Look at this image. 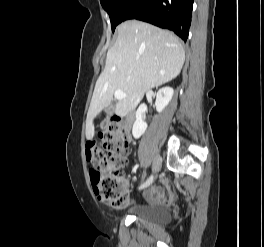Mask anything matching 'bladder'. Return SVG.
Masks as SVG:
<instances>
[{
	"label": "bladder",
	"mask_w": 264,
	"mask_h": 247,
	"mask_svg": "<svg viewBox=\"0 0 264 247\" xmlns=\"http://www.w3.org/2000/svg\"><path fill=\"white\" fill-rule=\"evenodd\" d=\"M132 210L136 218L153 224H164L171 219V212L161 206L136 205Z\"/></svg>",
	"instance_id": "31cf9c89"
}]
</instances>
